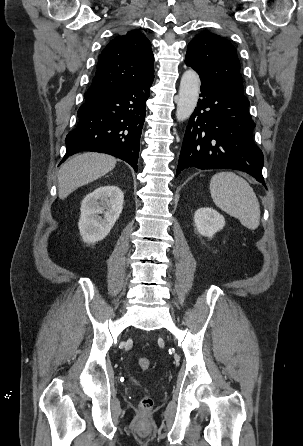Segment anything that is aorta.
<instances>
[{"label": "aorta", "mask_w": 303, "mask_h": 446, "mask_svg": "<svg viewBox=\"0 0 303 446\" xmlns=\"http://www.w3.org/2000/svg\"><path fill=\"white\" fill-rule=\"evenodd\" d=\"M200 84L199 75L193 69L185 71L182 75L176 108L178 121L188 119L196 108Z\"/></svg>", "instance_id": "1"}]
</instances>
